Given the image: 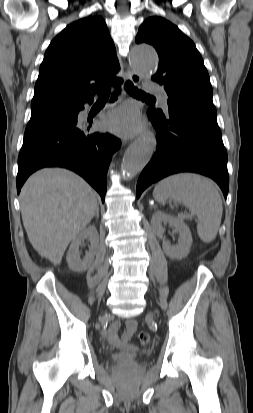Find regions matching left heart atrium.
<instances>
[{"instance_id": "left-heart-atrium-1", "label": "left heart atrium", "mask_w": 253, "mask_h": 413, "mask_svg": "<svg viewBox=\"0 0 253 413\" xmlns=\"http://www.w3.org/2000/svg\"><path fill=\"white\" fill-rule=\"evenodd\" d=\"M105 125L122 135H132L140 129V120L133 107L123 106L108 115Z\"/></svg>"}]
</instances>
